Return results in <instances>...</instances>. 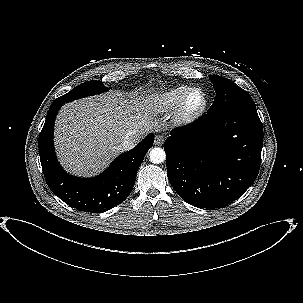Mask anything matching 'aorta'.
Here are the masks:
<instances>
[{
  "mask_svg": "<svg viewBox=\"0 0 303 303\" xmlns=\"http://www.w3.org/2000/svg\"><path fill=\"white\" fill-rule=\"evenodd\" d=\"M150 161L154 164H160L166 159L165 151L162 148L154 147L149 153Z\"/></svg>",
  "mask_w": 303,
  "mask_h": 303,
  "instance_id": "obj_1",
  "label": "aorta"
}]
</instances>
